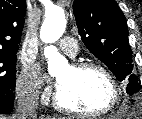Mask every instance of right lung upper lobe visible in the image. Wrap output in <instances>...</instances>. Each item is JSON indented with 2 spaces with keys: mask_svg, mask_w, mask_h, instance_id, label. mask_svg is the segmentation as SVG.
I'll use <instances>...</instances> for the list:
<instances>
[{
  "mask_svg": "<svg viewBox=\"0 0 142 119\" xmlns=\"http://www.w3.org/2000/svg\"><path fill=\"white\" fill-rule=\"evenodd\" d=\"M25 13V0H0V51H18Z\"/></svg>",
  "mask_w": 142,
  "mask_h": 119,
  "instance_id": "obj_1",
  "label": "right lung upper lobe"
}]
</instances>
